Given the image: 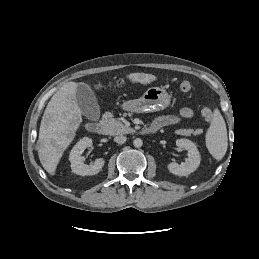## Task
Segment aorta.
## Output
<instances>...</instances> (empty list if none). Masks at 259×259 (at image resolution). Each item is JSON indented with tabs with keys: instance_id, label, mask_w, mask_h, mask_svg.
<instances>
[{
	"instance_id": "aorta-1",
	"label": "aorta",
	"mask_w": 259,
	"mask_h": 259,
	"mask_svg": "<svg viewBox=\"0 0 259 259\" xmlns=\"http://www.w3.org/2000/svg\"><path fill=\"white\" fill-rule=\"evenodd\" d=\"M133 145L137 148L141 147L143 145V141L140 138H136L133 141Z\"/></svg>"
}]
</instances>
